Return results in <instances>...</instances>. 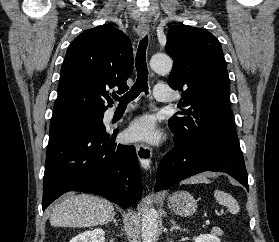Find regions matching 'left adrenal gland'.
I'll list each match as a JSON object with an SVG mask.
<instances>
[{"label":"left adrenal gland","instance_id":"a2214340","mask_svg":"<svg viewBox=\"0 0 279 242\" xmlns=\"http://www.w3.org/2000/svg\"><path fill=\"white\" fill-rule=\"evenodd\" d=\"M171 223H172V227L170 229V231L172 232L173 230H179V231H187V229L185 228H181L178 224H176V221L175 220H171Z\"/></svg>","mask_w":279,"mask_h":242}]
</instances>
